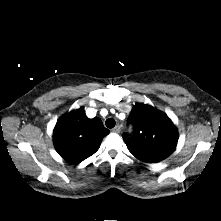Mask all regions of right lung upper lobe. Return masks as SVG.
Listing matches in <instances>:
<instances>
[{
  "instance_id": "right-lung-upper-lobe-1",
  "label": "right lung upper lobe",
  "mask_w": 221,
  "mask_h": 221,
  "mask_svg": "<svg viewBox=\"0 0 221 221\" xmlns=\"http://www.w3.org/2000/svg\"><path fill=\"white\" fill-rule=\"evenodd\" d=\"M109 133L98 117L89 119L81 107L57 121L53 141L62 158L78 164L93 155Z\"/></svg>"
}]
</instances>
